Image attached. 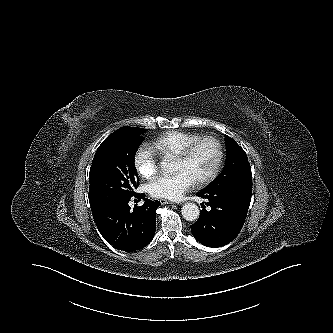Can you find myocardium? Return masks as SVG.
Instances as JSON below:
<instances>
[{"mask_svg":"<svg viewBox=\"0 0 333 333\" xmlns=\"http://www.w3.org/2000/svg\"><path fill=\"white\" fill-rule=\"evenodd\" d=\"M207 140L212 141L216 145L217 160H216V163H215L214 168L211 171V173L207 177H205L204 179L195 182L198 186H206V185L212 183L217 178V176L219 175V173L221 171V168H222V165H223V161H224V148H223V145H222L221 141L218 138H216L215 136H212V135L200 136L199 138L190 142L183 149V151L175 157V160L186 161L193 154V152L195 151L197 146L200 143H202L204 141H207Z\"/></svg>","mask_w":333,"mask_h":333,"instance_id":"f54148a6","label":"myocardium"}]
</instances>
